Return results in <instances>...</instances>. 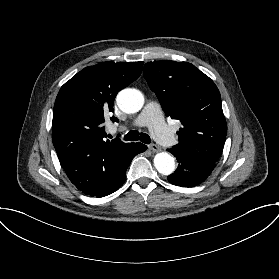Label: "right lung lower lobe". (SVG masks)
Segmentation results:
<instances>
[{
    "label": "right lung lower lobe",
    "mask_w": 279,
    "mask_h": 279,
    "mask_svg": "<svg viewBox=\"0 0 279 279\" xmlns=\"http://www.w3.org/2000/svg\"><path fill=\"white\" fill-rule=\"evenodd\" d=\"M147 149V147L144 144L136 145L134 148L135 154L132 156V158L128 161V163L125 165L123 170L119 173V175L116 177V179L108 186L106 187L99 195L96 197H104L107 196L113 192H115L117 189H119L126 180V169L130 165L133 157L141 152H144Z\"/></svg>",
    "instance_id": "98d812e1"
}]
</instances>
